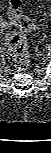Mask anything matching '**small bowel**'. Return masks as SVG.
Wrapping results in <instances>:
<instances>
[{
    "mask_svg": "<svg viewBox=\"0 0 51 153\" xmlns=\"http://www.w3.org/2000/svg\"><path fill=\"white\" fill-rule=\"evenodd\" d=\"M3 25L5 26V25H6V23H5V22H3Z\"/></svg>",
    "mask_w": 51,
    "mask_h": 153,
    "instance_id": "small-bowel-1",
    "label": "small bowel"
}]
</instances>
